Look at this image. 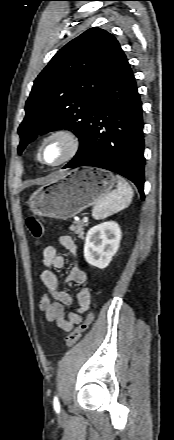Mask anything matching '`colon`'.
Instances as JSON below:
<instances>
[{
  "mask_svg": "<svg viewBox=\"0 0 174 440\" xmlns=\"http://www.w3.org/2000/svg\"><path fill=\"white\" fill-rule=\"evenodd\" d=\"M26 225L28 227L29 232L39 244L44 233V225L40 218L36 216H31L27 219ZM93 315L92 313H88L85 321L79 324L67 337L66 345L67 347H72L75 345L84 335L85 331L88 329Z\"/></svg>",
  "mask_w": 174,
  "mask_h": 440,
  "instance_id": "colon-1",
  "label": "colon"
}]
</instances>
